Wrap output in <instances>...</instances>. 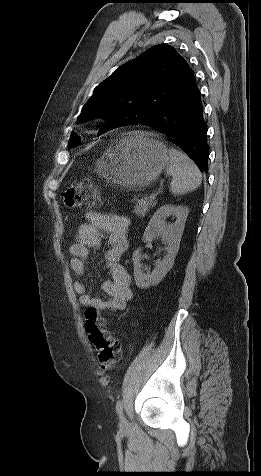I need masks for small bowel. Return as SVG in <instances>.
I'll return each mask as SVG.
<instances>
[{"instance_id": "small-bowel-1", "label": "small bowel", "mask_w": 261, "mask_h": 476, "mask_svg": "<svg viewBox=\"0 0 261 476\" xmlns=\"http://www.w3.org/2000/svg\"><path fill=\"white\" fill-rule=\"evenodd\" d=\"M88 222L78 227L74 243L70 246V265L79 279L74 282V290L83 306L94 307L98 311H122L132 299L131 277L120 260L128 246L129 220L120 215L89 212ZM106 236L108 248L104 255L105 265L111 279L102 284L107 298L92 296L87 290L84 278L90 248H96Z\"/></svg>"}]
</instances>
